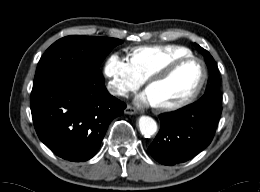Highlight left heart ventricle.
<instances>
[{
    "instance_id": "1",
    "label": "left heart ventricle",
    "mask_w": 260,
    "mask_h": 192,
    "mask_svg": "<svg viewBox=\"0 0 260 192\" xmlns=\"http://www.w3.org/2000/svg\"><path fill=\"white\" fill-rule=\"evenodd\" d=\"M199 75V66L188 63L178 68L170 77L155 82L150 90L161 101L181 97L195 87Z\"/></svg>"
}]
</instances>
